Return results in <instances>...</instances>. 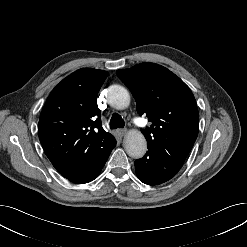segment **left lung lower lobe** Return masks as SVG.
I'll list each match as a JSON object with an SVG mask.
<instances>
[{
	"label": "left lung lower lobe",
	"instance_id": "0a47b994",
	"mask_svg": "<svg viewBox=\"0 0 247 247\" xmlns=\"http://www.w3.org/2000/svg\"><path fill=\"white\" fill-rule=\"evenodd\" d=\"M191 149L178 143L165 146L149 144L145 156L135 161L139 180L149 185L170 180L180 170Z\"/></svg>",
	"mask_w": 247,
	"mask_h": 247
}]
</instances>
